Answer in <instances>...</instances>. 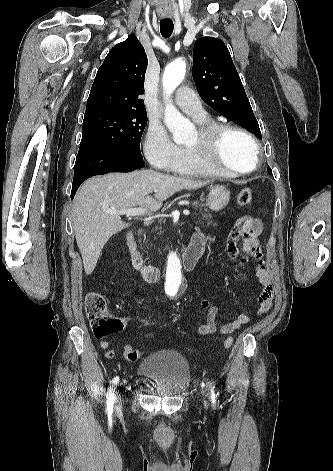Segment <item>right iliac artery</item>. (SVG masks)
<instances>
[{
	"mask_svg": "<svg viewBox=\"0 0 333 471\" xmlns=\"http://www.w3.org/2000/svg\"><path fill=\"white\" fill-rule=\"evenodd\" d=\"M119 382V377H114L113 380L111 381L108 393H107V411L112 412L113 410V404L115 400V389L116 385Z\"/></svg>",
	"mask_w": 333,
	"mask_h": 471,
	"instance_id": "82829eb1",
	"label": "right iliac artery"
}]
</instances>
